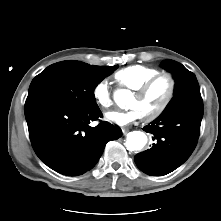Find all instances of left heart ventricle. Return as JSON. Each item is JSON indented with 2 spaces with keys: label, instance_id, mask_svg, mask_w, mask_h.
<instances>
[{
  "label": "left heart ventricle",
  "instance_id": "obj_1",
  "mask_svg": "<svg viewBox=\"0 0 221 221\" xmlns=\"http://www.w3.org/2000/svg\"><path fill=\"white\" fill-rule=\"evenodd\" d=\"M167 78L159 79L143 97L134 95L129 103L130 108L137 109L141 116L154 112L164 101L168 92Z\"/></svg>",
  "mask_w": 221,
  "mask_h": 221
}]
</instances>
